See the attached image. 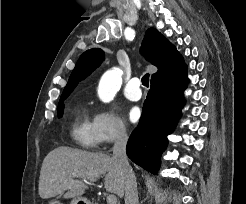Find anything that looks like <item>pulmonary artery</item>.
I'll return each mask as SVG.
<instances>
[{
  "instance_id": "e3ab8cb5",
  "label": "pulmonary artery",
  "mask_w": 246,
  "mask_h": 204,
  "mask_svg": "<svg viewBox=\"0 0 246 204\" xmlns=\"http://www.w3.org/2000/svg\"><path fill=\"white\" fill-rule=\"evenodd\" d=\"M124 95L131 101H138L142 97L140 80L132 78L125 87Z\"/></svg>"
}]
</instances>
